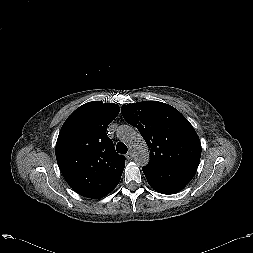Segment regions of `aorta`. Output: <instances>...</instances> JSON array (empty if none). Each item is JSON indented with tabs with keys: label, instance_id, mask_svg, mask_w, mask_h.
<instances>
[{
	"label": "aorta",
	"instance_id": "obj_1",
	"mask_svg": "<svg viewBox=\"0 0 253 253\" xmlns=\"http://www.w3.org/2000/svg\"><path fill=\"white\" fill-rule=\"evenodd\" d=\"M117 137L133 149L134 161L138 166L148 163L150 154L142 136L129 125H121L117 129Z\"/></svg>",
	"mask_w": 253,
	"mask_h": 253
}]
</instances>
